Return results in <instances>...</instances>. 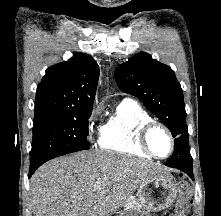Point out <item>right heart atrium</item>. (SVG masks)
Listing matches in <instances>:
<instances>
[{"instance_id":"right-heart-atrium-1","label":"right heart atrium","mask_w":221,"mask_h":216,"mask_svg":"<svg viewBox=\"0 0 221 216\" xmlns=\"http://www.w3.org/2000/svg\"><path fill=\"white\" fill-rule=\"evenodd\" d=\"M97 113V110H94L92 115L95 116ZM96 133H97V127L95 126L94 123H90L89 124V128H88V137L91 141H94L96 138Z\"/></svg>"}]
</instances>
